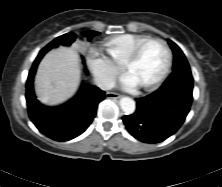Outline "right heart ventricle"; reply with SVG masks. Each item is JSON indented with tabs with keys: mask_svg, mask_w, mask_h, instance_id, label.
<instances>
[{
	"mask_svg": "<svg viewBox=\"0 0 222 187\" xmlns=\"http://www.w3.org/2000/svg\"><path fill=\"white\" fill-rule=\"evenodd\" d=\"M147 38L148 36L139 34H121L107 38L103 46L110 59L122 66L134 48Z\"/></svg>",
	"mask_w": 222,
	"mask_h": 187,
	"instance_id": "right-heart-ventricle-1",
	"label": "right heart ventricle"
}]
</instances>
